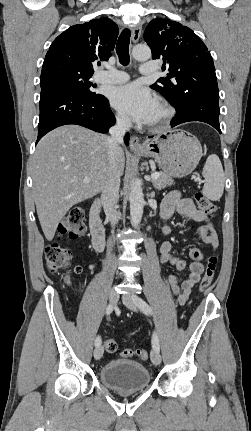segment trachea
<instances>
[{
  "instance_id": "trachea-1",
  "label": "trachea",
  "mask_w": 251,
  "mask_h": 431,
  "mask_svg": "<svg viewBox=\"0 0 251 431\" xmlns=\"http://www.w3.org/2000/svg\"><path fill=\"white\" fill-rule=\"evenodd\" d=\"M130 36H131L130 30L124 29L120 34L116 45V52L119 57V62L124 66H127L130 61V57H129Z\"/></svg>"
}]
</instances>
